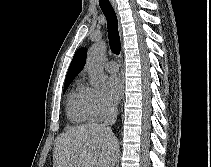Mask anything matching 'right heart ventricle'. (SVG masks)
<instances>
[{"label":"right heart ventricle","instance_id":"obj_1","mask_svg":"<svg viewBox=\"0 0 211 167\" xmlns=\"http://www.w3.org/2000/svg\"><path fill=\"white\" fill-rule=\"evenodd\" d=\"M67 115L74 122H86L92 119L86 104L84 86L79 82L68 95Z\"/></svg>","mask_w":211,"mask_h":167}]
</instances>
